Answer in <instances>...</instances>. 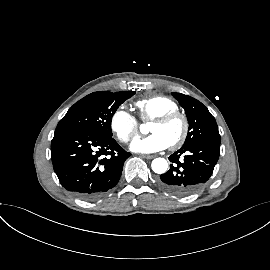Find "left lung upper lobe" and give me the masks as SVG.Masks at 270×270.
Instances as JSON below:
<instances>
[{
  "instance_id": "left-lung-upper-lobe-1",
  "label": "left lung upper lobe",
  "mask_w": 270,
  "mask_h": 270,
  "mask_svg": "<svg viewBox=\"0 0 270 270\" xmlns=\"http://www.w3.org/2000/svg\"><path fill=\"white\" fill-rule=\"evenodd\" d=\"M172 95L184 108L189 123V131L183 146L192 145L196 142L220 144L221 139L217 123L206 106L181 93L173 92Z\"/></svg>"
}]
</instances>
